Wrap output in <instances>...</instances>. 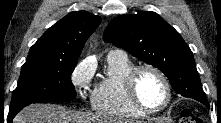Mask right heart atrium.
<instances>
[{"label": "right heart atrium", "mask_w": 221, "mask_h": 123, "mask_svg": "<svg viewBox=\"0 0 221 123\" xmlns=\"http://www.w3.org/2000/svg\"><path fill=\"white\" fill-rule=\"evenodd\" d=\"M91 78L92 70L85 62L78 63L71 73V82L79 92L88 86Z\"/></svg>", "instance_id": "d8ad5b80"}]
</instances>
